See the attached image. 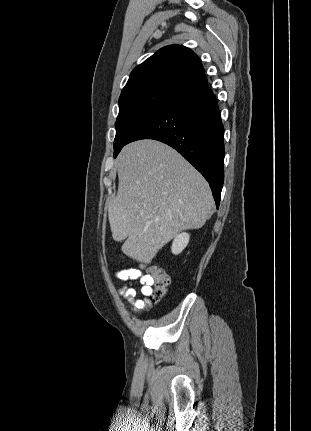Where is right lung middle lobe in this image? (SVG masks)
<instances>
[{
  "label": "right lung middle lobe",
  "mask_w": 311,
  "mask_h": 431,
  "mask_svg": "<svg viewBox=\"0 0 311 431\" xmlns=\"http://www.w3.org/2000/svg\"><path fill=\"white\" fill-rule=\"evenodd\" d=\"M179 97L177 94L155 88H144L121 94L116 120L114 157L141 124Z\"/></svg>",
  "instance_id": "obj_1"
}]
</instances>
